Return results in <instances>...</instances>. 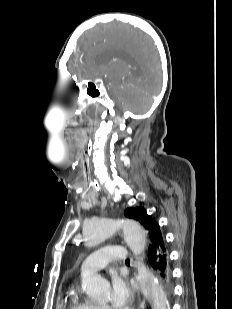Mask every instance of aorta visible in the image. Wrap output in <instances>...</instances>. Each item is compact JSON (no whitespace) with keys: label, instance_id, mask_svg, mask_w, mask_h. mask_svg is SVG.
Masks as SVG:
<instances>
[{"label":"aorta","instance_id":"obj_1","mask_svg":"<svg viewBox=\"0 0 232 309\" xmlns=\"http://www.w3.org/2000/svg\"><path fill=\"white\" fill-rule=\"evenodd\" d=\"M121 229L124 239L137 260L136 281L151 304L152 309H169L168 300L155 276L141 258L146 247L145 231L134 221L125 219L100 218L87 221L83 226L86 246L95 247ZM84 292L95 300H107L110 295L109 283L100 277H87L82 280Z\"/></svg>","mask_w":232,"mask_h":309}]
</instances>
